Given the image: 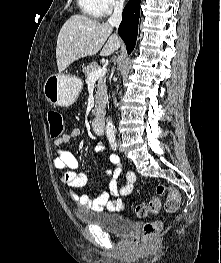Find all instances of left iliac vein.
<instances>
[{
    "label": "left iliac vein",
    "instance_id": "obj_1",
    "mask_svg": "<svg viewBox=\"0 0 221 263\" xmlns=\"http://www.w3.org/2000/svg\"><path fill=\"white\" fill-rule=\"evenodd\" d=\"M118 148H119V151H122V147H121V143L120 142L118 143Z\"/></svg>",
    "mask_w": 221,
    "mask_h": 263
}]
</instances>
